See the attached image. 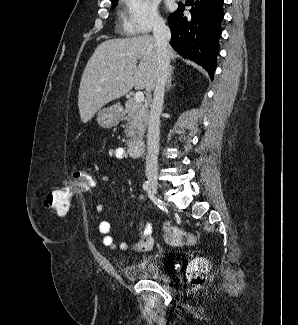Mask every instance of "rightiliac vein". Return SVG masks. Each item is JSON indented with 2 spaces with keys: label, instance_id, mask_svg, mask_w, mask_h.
I'll return each mask as SVG.
<instances>
[{
  "label": "right iliac vein",
  "instance_id": "63e3f726",
  "mask_svg": "<svg viewBox=\"0 0 298 325\" xmlns=\"http://www.w3.org/2000/svg\"><path fill=\"white\" fill-rule=\"evenodd\" d=\"M149 184H150V188L152 189V192L156 194L158 190L157 179L155 177H149Z\"/></svg>",
  "mask_w": 298,
  "mask_h": 325
}]
</instances>
